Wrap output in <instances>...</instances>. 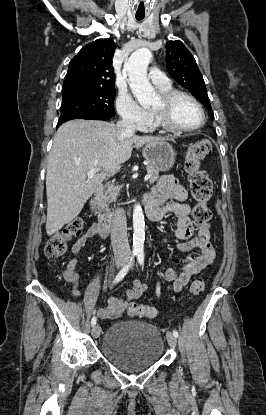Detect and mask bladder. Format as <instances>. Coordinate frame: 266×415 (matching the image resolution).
<instances>
[{
    "label": "bladder",
    "mask_w": 266,
    "mask_h": 415,
    "mask_svg": "<svg viewBox=\"0 0 266 415\" xmlns=\"http://www.w3.org/2000/svg\"><path fill=\"white\" fill-rule=\"evenodd\" d=\"M101 352L118 368L139 372L156 364L164 353L161 332L152 324L121 321L104 334Z\"/></svg>",
    "instance_id": "31cf9c89"
}]
</instances>
